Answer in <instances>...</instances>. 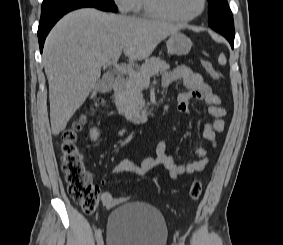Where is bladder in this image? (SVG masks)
<instances>
[{"mask_svg":"<svg viewBox=\"0 0 283 245\" xmlns=\"http://www.w3.org/2000/svg\"><path fill=\"white\" fill-rule=\"evenodd\" d=\"M107 245H166L168 230L154 206L129 201L114 208L107 220Z\"/></svg>","mask_w":283,"mask_h":245,"instance_id":"bladder-1","label":"bladder"}]
</instances>
